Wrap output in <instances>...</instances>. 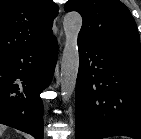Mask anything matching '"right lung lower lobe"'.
<instances>
[{
    "label": "right lung lower lobe",
    "mask_w": 141,
    "mask_h": 139,
    "mask_svg": "<svg viewBox=\"0 0 141 139\" xmlns=\"http://www.w3.org/2000/svg\"><path fill=\"white\" fill-rule=\"evenodd\" d=\"M55 36L0 55V123L43 139L40 93L50 84L57 61Z\"/></svg>",
    "instance_id": "1"
}]
</instances>
